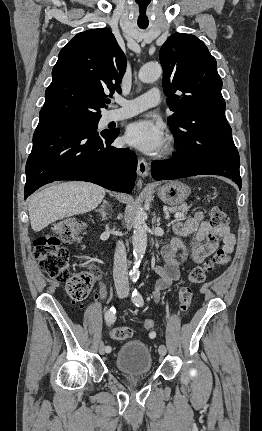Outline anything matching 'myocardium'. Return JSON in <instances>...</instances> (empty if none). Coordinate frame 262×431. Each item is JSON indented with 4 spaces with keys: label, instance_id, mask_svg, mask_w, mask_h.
<instances>
[{
    "label": "myocardium",
    "instance_id": "1",
    "mask_svg": "<svg viewBox=\"0 0 262 431\" xmlns=\"http://www.w3.org/2000/svg\"><path fill=\"white\" fill-rule=\"evenodd\" d=\"M167 153L172 154L176 151V144L174 142H171L167 149H166Z\"/></svg>",
    "mask_w": 262,
    "mask_h": 431
}]
</instances>
